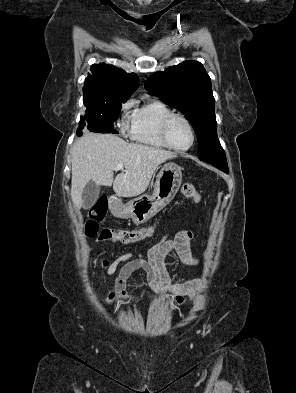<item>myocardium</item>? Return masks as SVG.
<instances>
[{
    "instance_id": "f54148a6",
    "label": "myocardium",
    "mask_w": 296,
    "mask_h": 393,
    "mask_svg": "<svg viewBox=\"0 0 296 393\" xmlns=\"http://www.w3.org/2000/svg\"><path fill=\"white\" fill-rule=\"evenodd\" d=\"M174 119H181V120H183L187 124L189 129H190V132H191V143L187 147H185V148L176 147L175 145H173L171 143V141L169 139V136H168L169 126H170L171 122ZM160 134H161V138H162L163 142L170 149H173V150L178 151V152H184V151L190 150L194 146V144L196 142V132H195V129H194V126H193L192 122L189 120V118H187L185 115H183L181 113H171L170 115H168L162 122Z\"/></svg>"
}]
</instances>
